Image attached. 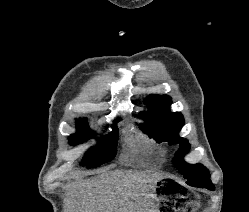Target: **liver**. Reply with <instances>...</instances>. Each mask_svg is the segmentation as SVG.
Segmentation results:
<instances>
[{
	"label": "liver",
	"mask_w": 249,
	"mask_h": 212,
	"mask_svg": "<svg viewBox=\"0 0 249 212\" xmlns=\"http://www.w3.org/2000/svg\"><path fill=\"white\" fill-rule=\"evenodd\" d=\"M156 174L115 170L98 172L93 180L74 178L67 194V212H150Z\"/></svg>",
	"instance_id": "6515ba94"
}]
</instances>
